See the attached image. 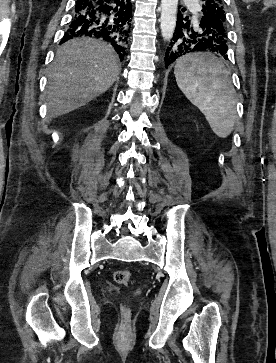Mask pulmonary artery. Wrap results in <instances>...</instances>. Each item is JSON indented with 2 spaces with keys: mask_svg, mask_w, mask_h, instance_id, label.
<instances>
[{
  "mask_svg": "<svg viewBox=\"0 0 276 363\" xmlns=\"http://www.w3.org/2000/svg\"><path fill=\"white\" fill-rule=\"evenodd\" d=\"M188 1H190L189 3H192L193 6H197V2H195L196 0H188ZM197 11L198 10L196 9L195 12H197Z\"/></svg>",
  "mask_w": 276,
  "mask_h": 363,
  "instance_id": "1",
  "label": "pulmonary artery"
}]
</instances>
